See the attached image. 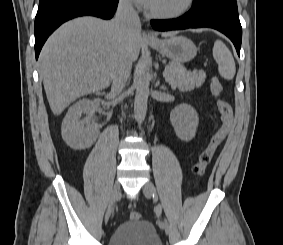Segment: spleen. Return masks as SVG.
Segmentation results:
<instances>
[{
	"mask_svg": "<svg viewBox=\"0 0 283 245\" xmlns=\"http://www.w3.org/2000/svg\"><path fill=\"white\" fill-rule=\"evenodd\" d=\"M213 57L218 63L220 76L227 80L233 79L236 73L235 61L231 52L221 40H216L214 43Z\"/></svg>",
	"mask_w": 283,
	"mask_h": 245,
	"instance_id": "spleen-1",
	"label": "spleen"
}]
</instances>
